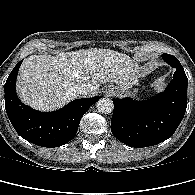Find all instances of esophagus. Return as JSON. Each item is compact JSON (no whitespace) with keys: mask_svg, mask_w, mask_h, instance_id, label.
Here are the masks:
<instances>
[{"mask_svg":"<svg viewBox=\"0 0 195 195\" xmlns=\"http://www.w3.org/2000/svg\"><path fill=\"white\" fill-rule=\"evenodd\" d=\"M105 92L107 96H110L113 94V89H107Z\"/></svg>","mask_w":195,"mask_h":195,"instance_id":"1","label":"esophagus"}]
</instances>
